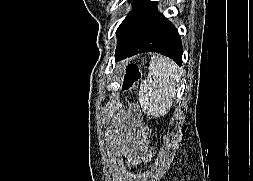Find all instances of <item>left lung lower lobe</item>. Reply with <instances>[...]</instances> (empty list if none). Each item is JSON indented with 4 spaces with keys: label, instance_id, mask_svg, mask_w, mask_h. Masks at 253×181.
<instances>
[{
    "label": "left lung lower lobe",
    "instance_id": "obj_1",
    "mask_svg": "<svg viewBox=\"0 0 253 181\" xmlns=\"http://www.w3.org/2000/svg\"><path fill=\"white\" fill-rule=\"evenodd\" d=\"M134 9L127 15L116 34V59L141 52H158L182 64V44L176 28L157 11V3L134 0Z\"/></svg>",
    "mask_w": 253,
    "mask_h": 181
}]
</instances>
